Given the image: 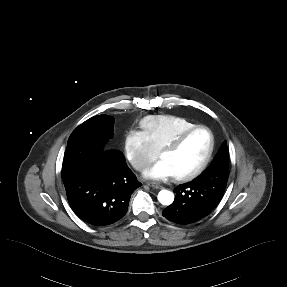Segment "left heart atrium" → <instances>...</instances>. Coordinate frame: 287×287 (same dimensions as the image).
<instances>
[{
  "label": "left heart atrium",
  "instance_id": "obj_1",
  "mask_svg": "<svg viewBox=\"0 0 287 287\" xmlns=\"http://www.w3.org/2000/svg\"><path fill=\"white\" fill-rule=\"evenodd\" d=\"M144 177L153 180H164L173 177V174L164 160H159L144 171Z\"/></svg>",
  "mask_w": 287,
  "mask_h": 287
}]
</instances>
